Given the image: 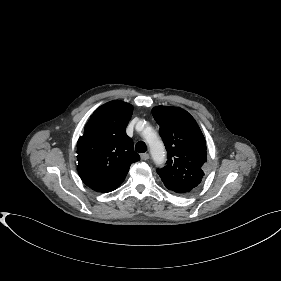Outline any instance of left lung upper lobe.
Wrapping results in <instances>:
<instances>
[{
	"mask_svg": "<svg viewBox=\"0 0 281 281\" xmlns=\"http://www.w3.org/2000/svg\"><path fill=\"white\" fill-rule=\"evenodd\" d=\"M152 114L160 125L168 158L157 173L168 190L180 195L193 193L207 169L206 142L198 124L187 111L177 107L157 106Z\"/></svg>",
	"mask_w": 281,
	"mask_h": 281,
	"instance_id": "obj_1",
	"label": "left lung upper lobe"
}]
</instances>
